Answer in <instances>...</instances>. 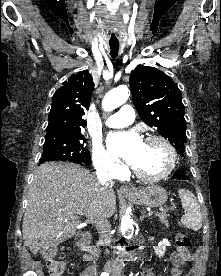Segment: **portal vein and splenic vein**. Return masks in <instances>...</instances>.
Returning <instances> with one entry per match:
<instances>
[{
	"label": "portal vein and splenic vein",
	"mask_w": 221,
	"mask_h": 276,
	"mask_svg": "<svg viewBox=\"0 0 221 276\" xmlns=\"http://www.w3.org/2000/svg\"><path fill=\"white\" fill-rule=\"evenodd\" d=\"M152 214H153V212H149V213H148V215H152ZM73 218H74V219H79L78 216H74Z\"/></svg>",
	"instance_id": "portal-vein-and-splenic-vein-1"
}]
</instances>
